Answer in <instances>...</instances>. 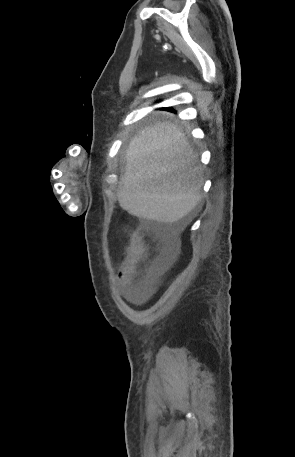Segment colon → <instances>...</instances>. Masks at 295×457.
<instances>
[{"instance_id": "1", "label": "colon", "mask_w": 295, "mask_h": 457, "mask_svg": "<svg viewBox=\"0 0 295 457\" xmlns=\"http://www.w3.org/2000/svg\"><path fill=\"white\" fill-rule=\"evenodd\" d=\"M146 254V245L138 234H133L130 240L128 255L123 265L124 272L133 271L143 260Z\"/></svg>"}]
</instances>
